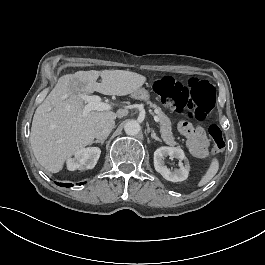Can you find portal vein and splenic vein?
Returning a JSON list of instances; mask_svg holds the SVG:
<instances>
[{
	"instance_id": "18ae733b",
	"label": "portal vein and splenic vein",
	"mask_w": 265,
	"mask_h": 265,
	"mask_svg": "<svg viewBox=\"0 0 265 265\" xmlns=\"http://www.w3.org/2000/svg\"><path fill=\"white\" fill-rule=\"evenodd\" d=\"M79 97L82 98L87 104L85 105L84 109H83V116H86L90 111H108L111 109V106L107 103H104L101 101L100 96L97 95H86V94H79ZM67 95H65L63 97V99H66ZM154 120L156 122L159 121L158 116H154Z\"/></svg>"
}]
</instances>
